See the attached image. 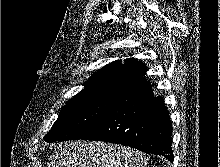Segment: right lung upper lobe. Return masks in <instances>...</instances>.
<instances>
[{
	"instance_id": "obj_1",
	"label": "right lung upper lobe",
	"mask_w": 220,
	"mask_h": 167,
	"mask_svg": "<svg viewBox=\"0 0 220 167\" xmlns=\"http://www.w3.org/2000/svg\"><path fill=\"white\" fill-rule=\"evenodd\" d=\"M145 72V64L137 59H127L124 64L117 60L93 74L85 83V88L72 99L89 97L116 99L123 94L149 85L143 77Z\"/></svg>"
}]
</instances>
